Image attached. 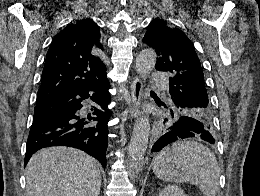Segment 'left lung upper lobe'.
<instances>
[{
    "instance_id": "obj_1",
    "label": "left lung upper lobe",
    "mask_w": 260,
    "mask_h": 196,
    "mask_svg": "<svg viewBox=\"0 0 260 196\" xmlns=\"http://www.w3.org/2000/svg\"><path fill=\"white\" fill-rule=\"evenodd\" d=\"M143 42L153 47L158 55L156 70L171 75V108L165 107L153 133V140L164 135L171 124L182 118L203 122L213 129V111L205 88L204 74L192 42L177 27L162 19L151 21ZM160 105V104H158Z\"/></svg>"
}]
</instances>
